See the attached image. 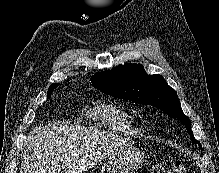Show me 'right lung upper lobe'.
I'll list each match as a JSON object with an SVG mask.
<instances>
[{
  "label": "right lung upper lobe",
  "mask_w": 219,
  "mask_h": 173,
  "mask_svg": "<svg viewBox=\"0 0 219 173\" xmlns=\"http://www.w3.org/2000/svg\"><path fill=\"white\" fill-rule=\"evenodd\" d=\"M54 85H58V83L57 84L56 83L51 84V86H54Z\"/></svg>",
  "instance_id": "cb5924a9"
}]
</instances>
